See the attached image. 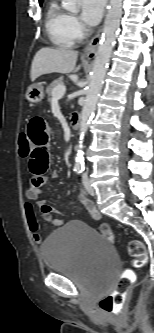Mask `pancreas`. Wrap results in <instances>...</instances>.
Wrapping results in <instances>:
<instances>
[{"label":"pancreas","mask_w":154,"mask_h":333,"mask_svg":"<svg viewBox=\"0 0 154 333\" xmlns=\"http://www.w3.org/2000/svg\"><path fill=\"white\" fill-rule=\"evenodd\" d=\"M63 77H59L58 79L54 80L46 89V93L48 95V100L51 101L52 99V91L58 85H63Z\"/></svg>","instance_id":"pancreas-1"}]
</instances>
